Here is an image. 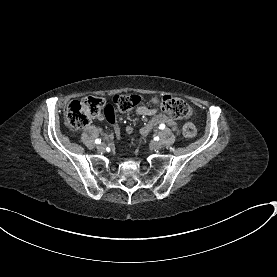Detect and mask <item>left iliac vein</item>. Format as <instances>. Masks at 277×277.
Segmentation results:
<instances>
[{"label": "left iliac vein", "instance_id": "obj_1", "mask_svg": "<svg viewBox=\"0 0 277 277\" xmlns=\"http://www.w3.org/2000/svg\"><path fill=\"white\" fill-rule=\"evenodd\" d=\"M151 148L160 149V148H162V143L160 141H153L151 143Z\"/></svg>", "mask_w": 277, "mask_h": 277}]
</instances>
